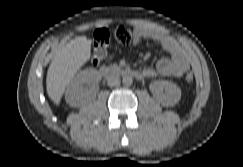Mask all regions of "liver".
I'll return each mask as SVG.
<instances>
[{"label": "liver", "mask_w": 243, "mask_h": 167, "mask_svg": "<svg viewBox=\"0 0 243 167\" xmlns=\"http://www.w3.org/2000/svg\"><path fill=\"white\" fill-rule=\"evenodd\" d=\"M91 43L86 36H80L55 52L46 77L47 93L54 104H60L66 86L90 59Z\"/></svg>", "instance_id": "liver-1"}]
</instances>
